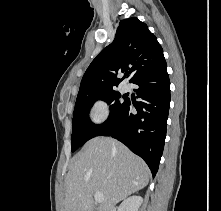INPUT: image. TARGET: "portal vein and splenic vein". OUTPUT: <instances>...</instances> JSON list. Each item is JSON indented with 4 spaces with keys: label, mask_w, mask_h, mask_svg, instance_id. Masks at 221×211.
Wrapping results in <instances>:
<instances>
[{
    "label": "portal vein and splenic vein",
    "mask_w": 221,
    "mask_h": 211,
    "mask_svg": "<svg viewBox=\"0 0 221 211\" xmlns=\"http://www.w3.org/2000/svg\"><path fill=\"white\" fill-rule=\"evenodd\" d=\"M94 198L97 203H102L104 201V196L101 192H95Z\"/></svg>",
    "instance_id": "1"
}]
</instances>
